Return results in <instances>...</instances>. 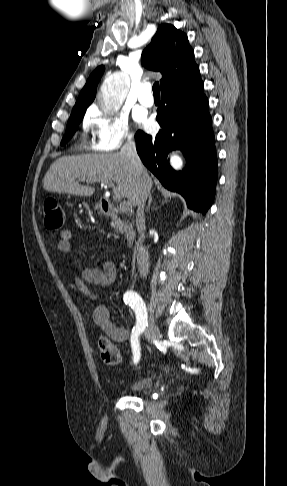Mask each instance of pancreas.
<instances>
[{"label": "pancreas", "instance_id": "pancreas-1", "mask_svg": "<svg viewBox=\"0 0 287 486\" xmlns=\"http://www.w3.org/2000/svg\"><path fill=\"white\" fill-rule=\"evenodd\" d=\"M113 227L116 229L117 232L123 233L124 232V227L122 222H115L113 224Z\"/></svg>", "mask_w": 287, "mask_h": 486}]
</instances>
